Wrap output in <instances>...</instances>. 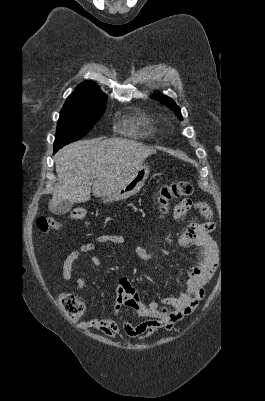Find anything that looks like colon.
<instances>
[{"label":"colon","mask_w":265,"mask_h":401,"mask_svg":"<svg viewBox=\"0 0 265 401\" xmlns=\"http://www.w3.org/2000/svg\"><path fill=\"white\" fill-rule=\"evenodd\" d=\"M193 191V186L189 181H178L161 187L158 202L162 212H166L169 203L176 199H184ZM71 218L81 220L85 217V210L75 208L71 211ZM39 231L47 233L51 229L58 227V223L51 217H40L36 221ZM61 309L70 321H77L84 311L83 303L71 293H63L58 298ZM170 329V328H167Z\"/></svg>","instance_id":"colon-1"}]
</instances>
